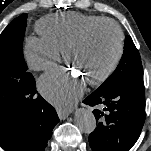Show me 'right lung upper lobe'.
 <instances>
[{"label": "right lung upper lobe", "instance_id": "obj_1", "mask_svg": "<svg viewBox=\"0 0 151 151\" xmlns=\"http://www.w3.org/2000/svg\"><path fill=\"white\" fill-rule=\"evenodd\" d=\"M16 111L13 106H0V145L5 150L12 147L15 135Z\"/></svg>", "mask_w": 151, "mask_h": 151}]
</instances>
